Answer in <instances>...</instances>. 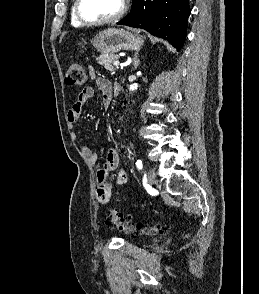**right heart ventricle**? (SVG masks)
I'll return each mask as SVG.
<instances>
[{
	"instance_id": "obj_1",
	"label": "right heart ventricle",
	"mask_w": 259,
	"mask_h": 294,
	"mask_svg": "<svg viewBox=\"0 0 259 294\" xmlns=\"http://www.w3.org/2000/svg\"><path fill=\"white\" fill-rule=\"evenodd\" d=\"M74 5H75V3H74ZM74 5H73L72 10H71V25H72L73 27H76V28H78V27H82L83 25L80 24V23L78 22V20L76 19V17H75V14H74Z\"/></svg>"
}]
</instances>
